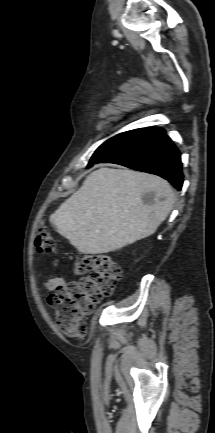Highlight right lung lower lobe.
Instances as JSON below:
<instances>
[{
  "label": "right lung lower lobe",
  "mask_w": 215,
  "mask_h": 433,
  "mask_svg": "<svg viewBox=\"0 0 215 433\" xmlns=\"http://www.w3.org/2000/svg\"><path fill=\"white\" fill-rule=\"evenodd\" d=\"M100 163L159 175L178 190L183 185L180 151L161 128H144L127 146Z\"/></svg>",
  "instance_id": "obj_1"
}]
</instances>
